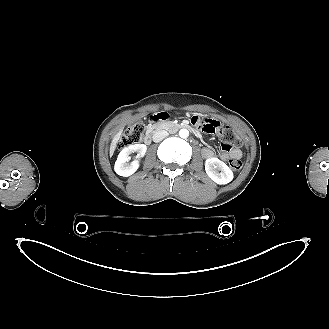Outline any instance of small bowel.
I'll return each instance as SVG.
<instances>
[{
	"instance_id": "c3829d8e",
	"label": "small bowel",
	"mask_w": 329,
	"mask_h": 329,
	"mask_svg": "<svg viewBox=\"0 0 329 329\" xmlns=\"http://www.w3.org/2000/svg\"><path fill=\"white\" fill-rule=\"evenodd\" d=\"M185 121L190 122L195 128L202 130L205 134H211L213 132H217L220 130V127H224V124H220L216 119H210L206 116H203L198 113H187L184 116ZM202 155L204 158L209 159L214 156V152L212 149L205 147L202 149ZM241 151L239 149H230L223 151L220 153L219 158L223 161L227 160L229 157H240Z\"/></svg>"
}]
</instances>
